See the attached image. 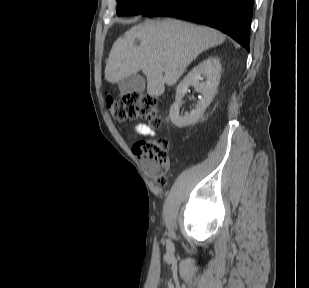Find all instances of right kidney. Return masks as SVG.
Wrapping results in <instances>:
<instances>
[{
  "label": "right kidney",
  "instance_id": "1",
  "mask_svg": "<svg viewBox=\"0 0 309 288\" xmlns=\"http://www.w3.org/2000/svg\"><path fill=\"white\" fill-rule=\"evenodd\" d=\"M221 64L217 58H208L190 71L179 83L176 89L175 102L170 107L169 118L171 122L179 127H186L195 124L204 114L205 109L211 103L220 82ZM202 76L206 77L203 82ZM201 80V82H200ZM189 86H194L201 95L195 109L190 114L180 116V105L182 98L188 91Z\"/></svg>",
  "mask_w": 309,
  "mask_h": 288
}]
</instances>
